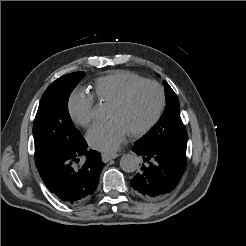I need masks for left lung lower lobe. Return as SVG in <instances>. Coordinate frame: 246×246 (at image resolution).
<instances>
[{
	"label": "left lung lower lobe",
	"mask_w": 246,
	"mask_h": 246,
	"mask_svg": "<svg viewBox=\"0 0 246 246\" xmlns=\"http://www.w3.org/2000/svg\"><path fill=\"white\" fill-rule=\"evenodd\" d=\"M187 142L160 141L134 143L132 150L143 159L142 167L130 181L137 194L146 199H159L179 183L186 167Z\"/></svg>",
	"instance_id": "left-lung-lower-lobe-1"
}]
</instances>
